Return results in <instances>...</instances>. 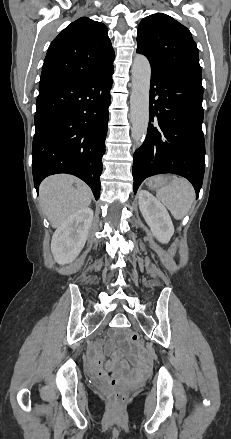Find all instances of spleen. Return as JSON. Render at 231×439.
<instances>
[{
    "label": "spleen",
    "mask_w": 231,
    "mask_h": 439,
    "mask_svg": "<svg viewBox=\"0 0 231 439\" xmlns=\"http://www.w3.org/2000/svg\"><path fill=\"white\" fill-rule=\"evenodd\" d=\"M156 197L175 219L181 220L192 206L195 191L187 181L173 176L168 178L166 185L156 191Z\"/></svg>",
    "instance_id": "1"
}]
</instances>
